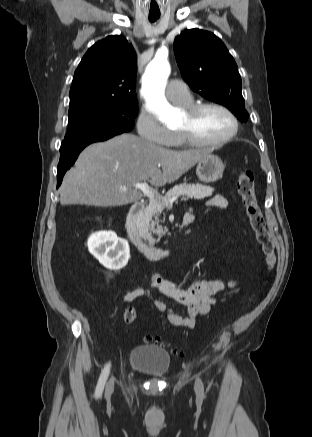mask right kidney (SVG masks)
<instances>
[{
	"mask_svg": "<svg viewBox=\"0 0 312 437\" xmlns=\"http://www.w3.org/2000/svg\"><path fill=\"white\" fill-rule=\"evenodd\" d=\"M89 252L106 268L118 270L126 266L130 258L129 244L112 231H101L88 239Z\"/></svg>",
	"mask_w": 312,
	"mask_h": 437,
	"instance_id": "1",
	"label": "right kidney"
}]
</instances>
